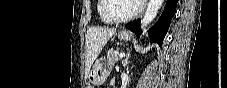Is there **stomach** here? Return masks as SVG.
Returning a JSON list of instances; mask_svg holds the SVG:
<instances>
[{
	"label": "stomach",
	"mask_w": 227,
	"mask_h": 88,
	"mask_svg": "<svg viewBox=\"0 0 227 88\" xmlns=\"http://www.w3.org/2000/svg\"><path fill=\"white\" fill-rule=\"evenodd\" d=\"M118 38L122 41H130L132 34L127 30H121L118 33ZM107 76L108 68L103 66L102 60H98L89 71L88 78L93 85H102L106 81Z\"/></svg>",
	"instance_id": "obj_1"
}]
</instances>
